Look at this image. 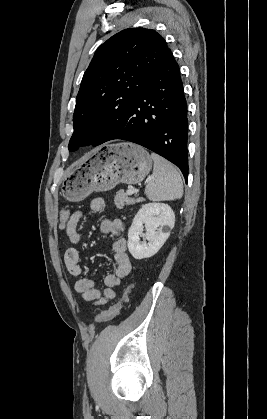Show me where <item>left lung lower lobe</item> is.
Returning <instances> with one entry per match:
<instances>
[{
	"instance_id": "0a47b994",
	"label": "left lung lower lobe",
	"mask_w": 267,
	"mask_h": 419,
	"mask_svg": "<svg viewBox=\"0 0 267 419\" xmlns=\"http://www.w3.org/2000/svg\"><path fill=\"white\" fill-rule=\"evenodd\" d=\"M187 103L179 65L169 49L122 119L106 123L93 146L113 139L142 145L177 165L188 178Z\"/></svg>"
}]
</instances>
